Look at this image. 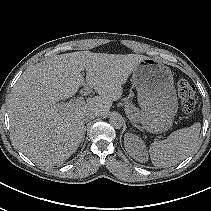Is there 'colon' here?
Instances as JSON below:
<instances>
[{"mask_svg": "<svg viewBox=\"0 0 211 211\" xmlns=\"http://www.w3.org/2000/svg\"><path fill=\"white\" fill-rule=\"evenodd\" d=\"M177 93L182 111L186 115L192 114L197 103L194 87L185 78H180L177 81Z\"/></svg>", "mask_w": 211, "mask_h": 211, "instance_id": "5ec220e1", "label": "colon"}]
</instances>
